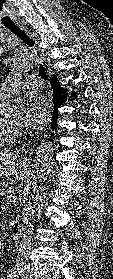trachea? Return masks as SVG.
Returning <instances> with one entry per match:
<instances>
[{
    "mask_svg": "<svg viewBox=\"0 0 113 279\" xmlns=\"http://www.w3.org/2000/svg\"><path fill=\"white\" fill-rule=\"evenodd\" d=\"M6 27L13 32L15 35H17L20 39H22L28 46L34 47L35 42L33 39H31L24 31L20 30L18 27L15 25H6ZM39 75L41 78L44 80L47 79L46 71L45 68L43 67L42 64L39 65Z\"/></svg>",
    "mask_w": 113,
    "mask_h": 279,
    "instance_id": "obj_1",
    "label": "trachea"
}]
</instances>
